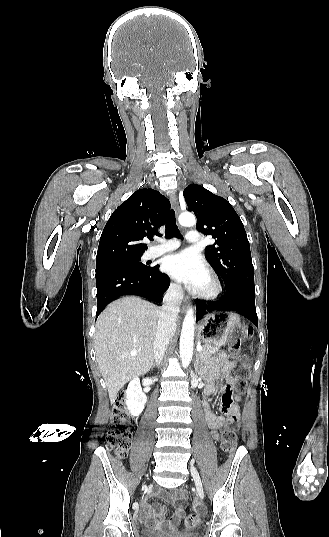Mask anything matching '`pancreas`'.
Segmentation results:
<instances>
[{
  "instance_id": "1",
  "label": "pancreas",
  "mask_w": 329,
  "mask_h": 537,
  "mask_svg": "<svg viewBox=\"0 0 329 537\" xmlns=\"http://www.w3.org/2000/svg\"><path fill=\"white\" fill-rule=\"evenodd\" d=\"M219 348L213 345H204L202 351L199 352L198 357L201 361H210L213 359L212 355L218 352Z\"/></svg>"
}]
</instances>
